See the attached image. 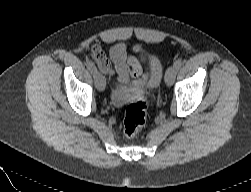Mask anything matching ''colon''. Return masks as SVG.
I'll list each match as a JSON object with an SVG mask.
<instances>
[{
  "label": "colon",
  "mask_w": 251,
  "mask_h": 192,
  "mask_svg": "<svg viewBox=\"0 0 251 192\" xmlns=\"http://www.w3.org/2000/svg\"><path fill=\"white\" fill-rule=\"evenodd\" d=\"M147 105V100L141 99L127 106L123 122L124 134L127 138H134L144 127Z\"/></svg>",
  "instance_id": "colon-1"
}]
</instances>
